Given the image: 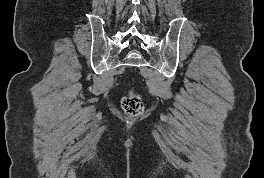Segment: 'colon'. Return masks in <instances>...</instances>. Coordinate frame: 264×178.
<instances>
[{
	"instance_id": "obj_1",
	"label": "colon",
	"mask_w": 264,
	"mask_h": 178,
	"mask_svg": "<svg viewBox=\"0 0 264 178\" xmlns=\"http://www.w3.org/2000/svg\"><path fill=\"white\" fill-rule=\"evenodd\" d=\"M123 109L130 115H138L143 111L141 99L134 94H130L122 101Z\"/></svg>"
}]
</instances>
